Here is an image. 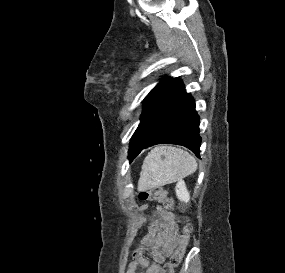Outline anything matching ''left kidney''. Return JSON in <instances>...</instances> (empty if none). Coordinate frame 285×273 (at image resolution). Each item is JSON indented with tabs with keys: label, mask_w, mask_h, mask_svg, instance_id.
<instances>
[{
	"label": "left kidney",
	"mask_w": 285,
	"mask_h": 273,
	"mask_svg": "<svg viewBox=\"0 0 285 273\" xmlns=\"http://www.w3.org/2000/svg\"><path fill=\"white\" fill-rule=\"evenodd\" d=\"M175 191H176V196L180 201H183L186 203L189 202L190 194L186 188L184 181H180L177 183Z\"/></svg>",
	"instance_id": "1"
}]
</instances>
